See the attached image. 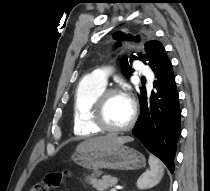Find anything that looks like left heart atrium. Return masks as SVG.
<instances>
[{
    "instance_id": "1",
    "label": "left heart atrium",
    "mask_w": 210,
    "mask_h": 191,
    "mask_svg": "<svg viewBox=\"0 0 210 191\" xmlns=\"http://www.w3.org/2000/svg\"><path fill=\"white\" fill-rule=\"evenodd\" d=\"M124 96L126 97L127 100H129V101L131 100L130 97H129V95L124 94Z\"/></svg>"
}]
</instances>
